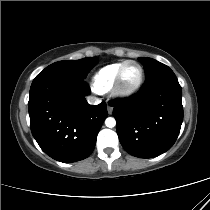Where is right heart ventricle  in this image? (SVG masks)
I'll return each mask as SVG.
<instances>
[{
    "mask_svg": "<svg viewBox=\"0 0 210 210\" xmlns=\"http://www.w3.org/2000/svg\"><path fill=\"white\" fill-rule=\"evenodd\" d=\"M124 62L111 63L99 69L92 79L93 89L98 93H105L112 89L117 72Z\"/></svg>",
    "mask_w": 210,
    "mask_h": 210,
    "instance_id": "e07e8e85",
    "label": "right heart ventricle"
}]
</instances>
